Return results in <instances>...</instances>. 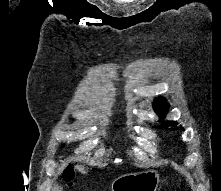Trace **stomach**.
<instances>
[{
  "mask_svg": "<svg viewBox=\"0 0 221 191\" xmlns=\"http://www.w3.org/2000/svg\"><path fill=\"white\" fill-rule=\"evenodd\" d=\"M159 181V174L154 170L130 173L116 178L112 191H156Z\"/></svg>",
  "mask_w": 221,
  "mask_h": 191,
  "instance_id": "stomach-1",
  "label": "stomach"
}]
</instances>
